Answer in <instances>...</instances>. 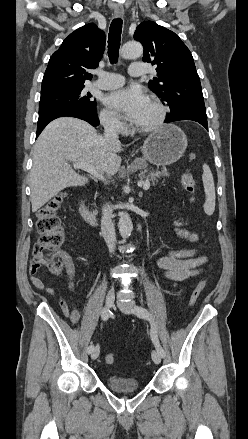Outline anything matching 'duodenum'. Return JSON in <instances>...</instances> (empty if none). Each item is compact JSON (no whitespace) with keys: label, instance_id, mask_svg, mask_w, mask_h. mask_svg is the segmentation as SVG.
I'll list each match as a JSON object with an SVG mask.
<instances>
[{"label":"duodenum","instance_id":"410a0bca","mask_svg":"<svg viewBox=\"0 0 248 439\" xmlns=\"http://www.w3.org/2000/svg\"><path fill=\"white\" fill-rule=\"evenodd\" d=\"M79 205H80V215L83 218V220L90 226L95 227L97 225V219H96V215L94 212H92L87 204L84 198H82L79 201Z\"/></svg>","mask_w":248,"mask_h":439}]
</instances>
